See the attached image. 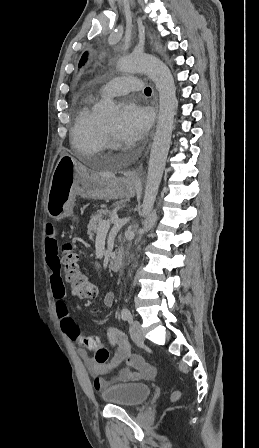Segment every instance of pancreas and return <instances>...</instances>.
Returning a JSON list of instances; mask_svg holds the SVG:
<instances>
[{
	"instance_id": "cf45deb5",
	"label": "pancreas",
	"mask_w": 259,
	"mask_h": 448,
	"mask_svg": "<svg viewBox=\"0 0 259 448\" xmlns=\"http://www.w3.org/2000/svg\"><path fill=\"white\" fill-rule=\"evenodd\" d=\"M105 216H109L107 210H98V212H95V214L91 216V220L87 226L89 240H94V236L97 234V228L100 222H103Z\"/></svg>"
}]
</instances>
